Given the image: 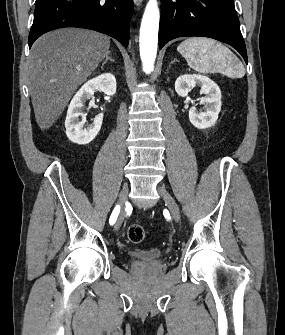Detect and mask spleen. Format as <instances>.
<instances>
[{
    "instance_id": "3e777b00",
    "label": "spleen",
    "mask_w": 285,
    "mask_h": 335,
    "mask_svg": "<svg viewBox=\"0 0 285 335\" xmlns=\"http://www.w3.org/2000/svg\"><path fill=\"white\" fill-rule=\"evenodd\" d=\"M177 52L185 58L188 66L199 74H210L214 70L225 68H236L241 78L245 74L244 66L238 62L234 54L211 38H188L179 44Z\"/></svg>"
}]
</instances>
